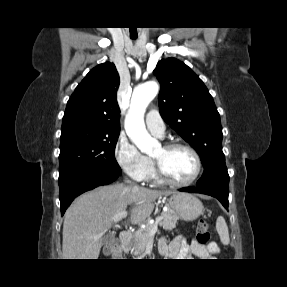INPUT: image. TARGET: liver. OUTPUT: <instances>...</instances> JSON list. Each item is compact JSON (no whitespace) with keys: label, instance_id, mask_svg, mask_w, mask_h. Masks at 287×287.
<instances>
[{"label":"liver","instance_id":"liver-1","mask_svg":"<svg viewBox=\"0 0 287 287\" xmlns=\"http://www.w3.org/2000/svg\"><path fill=\"white\" fill-rule=\"evenodd\" d=\"M172 191L113 184L78 197L65 213L62 252L64 259H98L105 232L113 217L130 207L129 220L142 224L154 210V202Z\"/></svg>","mask_w":287,"mask_h":287}]
</instances>
